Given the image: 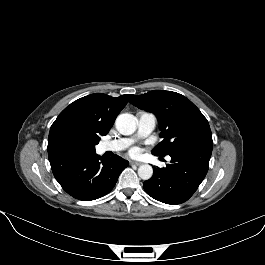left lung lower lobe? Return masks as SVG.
<instances>
[{
  "instance_id": "obj_1",
  "label": "left lung lower lobe",
  "mask_w": 265,
  "mask_h": 265,
  "mask_svg": "<svg viewBox=\"0 0 265 265\" xmlns=\"http://www.w3.org/2000/svg\"><path fill=\"white\" fill-rule=\"evenodd\" d=\"M212 149V137L179 146L168 154L171 162L165 168H153V177L143 183L145 192L166 204L187 201L207 174Z\"/></svg>"
}]
</instances>
